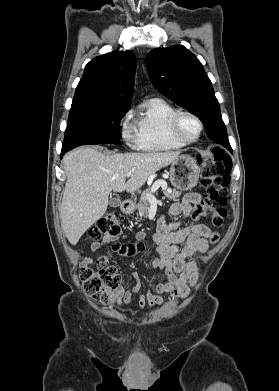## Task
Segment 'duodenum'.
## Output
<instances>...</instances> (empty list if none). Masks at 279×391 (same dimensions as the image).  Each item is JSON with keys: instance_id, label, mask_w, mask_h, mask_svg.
<instances>
[{"instance_id": "obj_1", "label": "duodenum", "mask_w": 279, "mask_h": 391, "mask_svg": "<svg viewBox=\"0 0 279 391\" xmlns=\"http://www.w3.org/2000/svg\"><path fill=\"white\" fill-rule=\"evenodd\" d=\"M122 209L124 213L129 214L133 210V202L129 199L123 201Z\"/></svg>"}]
</instances>
